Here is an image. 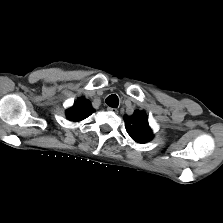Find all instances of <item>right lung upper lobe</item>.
<instances>
[{
    "instance_id": "right-lung-upper-lobe-1",
    "label": "right lung upper lobe",
    "mask_w": 223,
    "mask_h": 223,
    "mask_svg": "<svg viewBox=\"0 0 223 223\" xmlns=\"http://www.w3.org/2000/svg\"><path fill=\"white\" fill-rule=\"evenodd\" d=\"M93 111L94 109L90 102L84 98H80L74 103L73 107L67 110L66 115L69 120L80 121L91 115Z\"/></svg>"
}]
</instances>
